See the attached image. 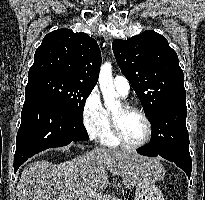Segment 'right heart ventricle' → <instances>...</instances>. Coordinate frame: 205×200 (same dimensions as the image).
Masks as SVG:
<instances>
[{"mask_svg":"<svg viewBox=\"0 0 205 200\" xmlns=\"http://www.w3.org/2000/svg\"><path fill=\"white\" fill-rule=\"evenodd\" d=\"M99 141L102 145L108 146V147H118L120 145V143L116 140V138L114 137L112 133L109 114H108L107 125L103 133L99 137Z\"/></svg>","mask_w":205,"mask_h":200,"instance_id":"obj_1","label":"right heart ventricle"}]
</instances>
